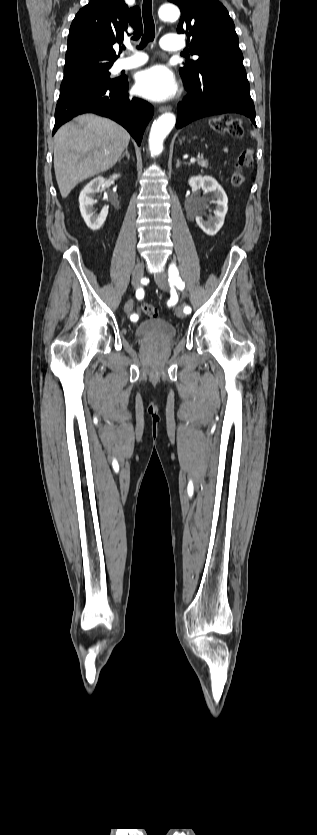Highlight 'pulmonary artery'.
Here are the masks:
<instances>
[{"label": "pulmonary artery", "mask_w": 317, "mask_h": 835, "mask_svg": "<svg viewBox=\"0 0 317 835\" xmlns=\"http://www.w3.org/2000/svg\"><path fill=\"white\" fill-rule=\"evenodd\" d=\"M161 47L166 51L177 52L184 49L185 45L178 36L165 35L161 40ZM126 48L132 54L117 60L115 67L118 71L139 67L147 61V56L137 51L135 47L127 46Z\"/></svg>", "instance_id": "e3ab8cb5"}]
</instances>
